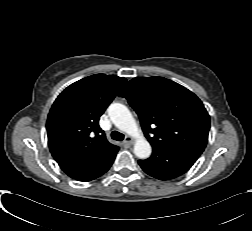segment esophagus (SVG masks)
I'll return each mask as SVG.
<instances>
[{
	"label": "esophagus",
	"instance_id": "esophagus-1",
	"mask_svg": "<svg viewBox=\"0 0 252 231\" xmlns=\"http://www.w3.org/2000/svg\"><path fill=\"white\" fill-rule=\"evenodd\" d=\"M124 144L126 145H132L133 144V139L130 136H126L125 140H124Z\"/></svg>",
	"mask_w": 252,
	"mask_h": 231
}]
</instances>
